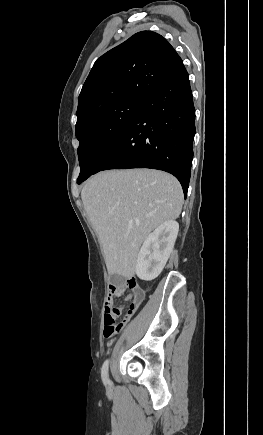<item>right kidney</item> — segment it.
<instances>
[{"instance_id":"obj_1","label":"right kidney","mask_w":263,"mask_h":435,"mask_svg":"<svg viewBox=\"0 0 263 435\" xmlns=\"http://www.w3.org/2000/svg\"><path fill=\"white\" fill-rule=\"evenodd\" d=\"M179 224L168 220L158 226L145 239L137 257L136 274L151 281L162 272L176 241Z\"/></svg>"}]
</instances>
